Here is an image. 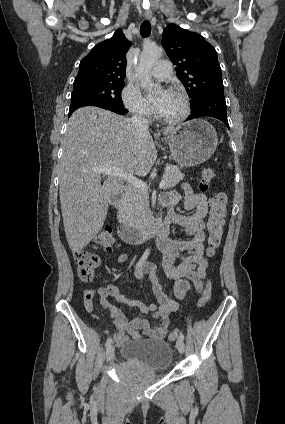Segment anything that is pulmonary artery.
Masks as SVG:
<instances>
[{"label": "pulmonary artery", "instance_id": "1", "mask_svg": "<svg viewBox=\"0 0 285 424\" xmlns=\"http://www.w3.org/2000/svg\"><path fill=\"white\" fill-rule=\"evenodd\" d=\"M151 74L159 80H164L172 75L171 63L167 59L159 60L152 68Z\"/></svg>", "mask_w": 285, "mask_h": 424}]
</instances>
